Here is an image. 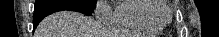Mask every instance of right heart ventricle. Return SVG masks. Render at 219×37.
I'll return each instance as SVG.
<instances>
[{"instance_id":"right-heart-ventricle-1","label":"right heart ventricle","mask_w":219,"mask_h":37,"mask_svg":"<svg viewBox=\"0 0 219 37\" xmlns=\"http://www.w3.org/2000/svg\"><path fill=\"white\" fill-rule=\"evenodd\" d=\"M158 8L152 0H123L115 8L112 25L124 30L158 34L163 26L149 16Z\"/></svg>"}]
</instances>
